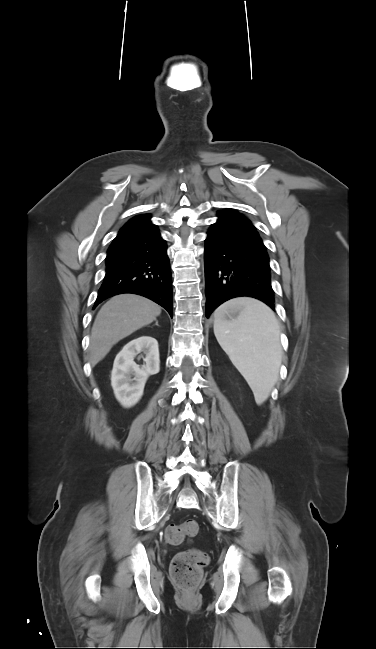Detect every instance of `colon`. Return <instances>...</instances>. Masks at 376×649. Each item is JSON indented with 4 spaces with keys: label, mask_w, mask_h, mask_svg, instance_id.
Here are the masks:
<instances>
[{
    "label": "colon",
    "mask_w": 376,
    "mask_h": 649,
    "mask_svg": "<svg viewBox=\"0 0 376 649\" xmlns=\"http://www.w3.org/2000/svg\"><path fill=\"white\" fill-rule=\"evenodd\" d=\"M199 532V524L193 519L184 521L181 524L170 525L165 530V541L170 545H178L186 537L196 536ZM208 562V555L198 549H190L178 553L170 566V574L174 582L182 589L190 591L194 589L202 575V570Z\"/></svg>",
    "instance_id": "1"
}]
</instances>
